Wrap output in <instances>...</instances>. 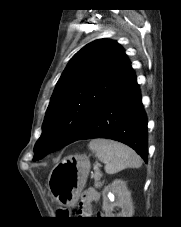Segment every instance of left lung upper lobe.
Masks as SVG:
<instances>
[{
    "instance_id": "5c2ea615",
    "label": "left lung upper lobe",
    "mask_w": 181,
    "mask_h": 227,
    "mask_svg": "<svg viewBox=\"0 0 181 227\" xmlns=\"http://www.w3.org/2000/svg\"><path fill=\"white\" fill-rule=\"evenodd\" d=\"M132 71L124 50L115 41L95 40L78 51L57 82L33 160L77 141L101 104Z\"/></svg>"
}]
</instances>
